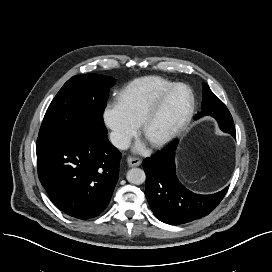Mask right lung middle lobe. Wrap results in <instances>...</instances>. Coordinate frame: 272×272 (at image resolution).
I'll return each instance as SVG.
<instances>
[{"mask_svg": "<svg viewBox=\"0 0 272 272\" xmlns=\"http://www.w3.org/2000/svg\"><path fill=\"white\" fill-rule=\"evenodd\" d=\"M114 79L99 74L76 75L57 93L44 116L39 137L84 133L107 134L103 122L108 93Z\"/></svg>", "mask_w": 272, "mask_h": 272, "instance_id": "right-lung-middle-lobe-1", "label": "right lung middle lobe"}]
</instances>
